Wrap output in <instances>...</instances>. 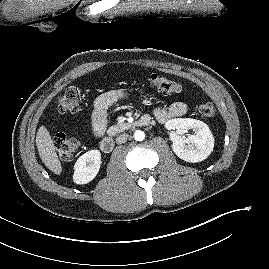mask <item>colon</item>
I'll return each mask as SVG.
<instances>
[{
    "mask_svg": "<svg viewBox=\"0 0 269 269\" xmlns=\"http://www.w3.org/2000/svg\"><path fill=\"white\" fill-rule=\"evenodd\" d=\"M149 84L166 95L179 94L182 92V86L159 74H151L148 78ZM58 111L61 114H77L80 111L79 90L75 86H69L59 97L57 103ZM199 113L206 118H211L215 114L214 106L207 102L198 108ZM54 146L60 158L64 161L73 159L78 151L79 143L75 138L68 137L65 134H58L54 139Z\"/></svg>",
    "mask_w": 269,
    "mask_h": 269,
    "instance_id": "5ec220e1",
    "label": "colon"
}]
</instances>
